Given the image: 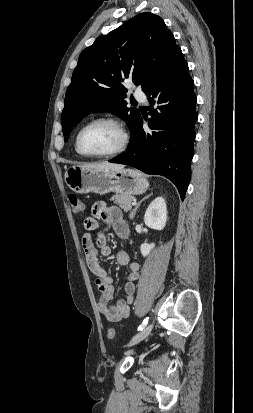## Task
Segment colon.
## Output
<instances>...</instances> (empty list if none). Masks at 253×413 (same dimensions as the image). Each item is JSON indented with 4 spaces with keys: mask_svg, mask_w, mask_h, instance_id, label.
<instances>
[{
    "mask_svg": "<svg viewBox=\"0 0 253 413\" xmlns=\"http://www.w3.org/2000/svg\"><path fill=\"white\" fill-rule=\"evenodd\" d=\"M68 202L73 212L81 213L84 210V204L75 194L71 193L68 195ZM107 337L109 339H114L116 337V331L113 328H110L107 332Z\"/></svg>",
    "mask_w": 253,
    "mask_h": 413,
    "instance_id": "obj_1",
    "label": "colon"
}]
</instances>
